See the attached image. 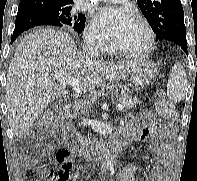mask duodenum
<instances>
[{
	"mask_svg": "<svg viewBox=\"0 0 197 181\" xmlns=\"http://www.w3.org/2000/svg\"><path fill=\"white\" fill-rule=\"evenodd\" d=\"M66 118L68 120V128H71L72 114L69 111L66 112ZM128 141L129 139L123 135L122 132H120L114 137L111 146L87 147L86 149L74 147V152L78 156L83 157L85 156V151H87L90 156L104 159L112 156V154H118L128 143Z\"/></svg>",
	"mask_w": 197,
	"mask_h": 181,
	"instance_id": "1",
	"label": "duodenum"
}]
</instances>
